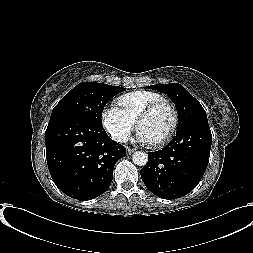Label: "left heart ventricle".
Here are the masks:
<instances>
[{
  "instance_id": "b2bd125f",
  "label": "left heart ventricle",
  "mask_w": 253,
  "mask_h": 253,
  "mask_svg": "<svg viewBox=\"0 0 253 253\" xmlns=\"http://www.w3.org/2000/svg\"><path fill=\"white\" fill-rule=\"evenodd\" d=\"M173 123V114L168 105L158 107L150 116H148L139 126L150 144L156 143L164 138L169 132Z\"/></svg>"
}]
</instances>
